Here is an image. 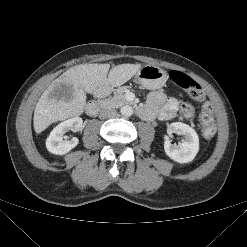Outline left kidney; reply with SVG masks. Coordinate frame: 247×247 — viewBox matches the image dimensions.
Segmentation results:
<instances>
[{
	"instance_id": "5707ae66",
	"label": "left kidney",
	"mask_w": 247,
	"mask_h": 247,
	"mask_svg": "<svg viewBox=\"0 0 247 247\" xmlns=\"http://www.w3.org/2000/svg\"><path fill=\"white\" fill-rule=\"evenodd\" d=\"M168 133L182 134L184 140L178 146H173L168 136H165L164 150L166 154L178 163L192 161L199 151V138L196 131L187 124L174 122L170 124Z\"/></svg>"
}]
</instances>
